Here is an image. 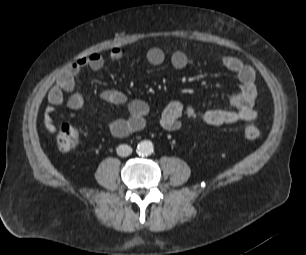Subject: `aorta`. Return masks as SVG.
<instances>
[{"mask_svg": "<svg viewBox=\"0 0 306 255\" xmlns=\"http://www.w3.org/2000/svg\"><path fill=\"white\" fill-rule=\"evenodd\" d=\"M153 150V143L149 140H143L138 144L136 152L140 156H149L153 153Z\"/></svg>", "mask_w": 306, "mask_h": 255, "instance_id": "aorta-1", "label": "aorta"}]
</instances>
